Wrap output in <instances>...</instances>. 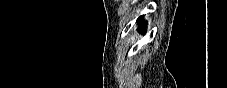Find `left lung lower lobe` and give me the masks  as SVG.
Wrapping results in <instances>:
<instances>
[{
  "label": "left lung lower lobe",
  "instance_id": "0a47b994",
  "mask_svg": "<svg viewBox=\"0 0 227 88\" xmlns=\"http://www.w3.org/2000/svg\"><path fill=\"white\" fill-rule=\"evenodd\" d=\"M142 19H143V16H140V17L137 19V22H140V21H141L138 30H139L140 33L144 34V33L146 32V24H147V23L144 22V21L142 22Z\"/></svg>",
  "mask_w": 227,
  "mask_h": 88
}]
</instances>
